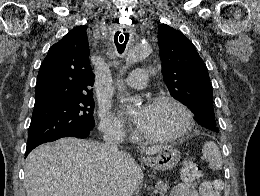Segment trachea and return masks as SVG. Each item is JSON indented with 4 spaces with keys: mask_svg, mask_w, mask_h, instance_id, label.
<instances>
[{
    "mask_svg": "<svg viewBox=\"0 0 260 196\" xmlns=\"http://www.w3.org/2000/svg\"><path fill=\"white\" fill-rule=\"evenodd\" d=\"M129 40V34L128 33H116L114 36V43L116 45L117 51L119 53H123L126 45Z\"/></svg>",
    "mask_w": 260,
    "mask_h": 196,
    "instance_id": "3493384b",
    "label": "trachea"
}]
</instances>
